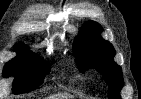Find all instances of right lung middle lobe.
Masks as SVG:
<instances>
[{"mask_svg": "<svg viewBox=\"0 0 141 99\" xmlns=\"http://www.w3.org/2000/svg\"><path fill=\"white\" fill-rule=\"evenodd\" d=\"M15 49L18 56L5 65L3 75L16 77L12 91L14 94H21L40 86L49 72V67L44 61L37 59L26 45H16Z\"/></svg>", "mask_w": 141, "mask_h": 99, "instance_id": "1", "label": "right lung middle lobe"}]
</instances>
